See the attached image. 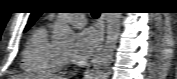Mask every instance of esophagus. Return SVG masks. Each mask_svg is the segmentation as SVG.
<instances>
[{
	"label": "esophagus",
	"mask_w": 177,
	"mask_h": 79,
	"mask_svg": "<svg viewBox=\"0 0 177 79\" xmlns=\"http://www.w3.org/2000/svg\"><path fill=\"white\" fill-rule=\"evenodd\" d=\"M104 20H105L104 15L101 14L97 22V27H98L99 36H100L99 45H98L96 53L94 54L92 60L90 61L87 69L84 72V79H93L94 77V74L97 68L99 55L102 51L103 43H104V32H105Z\"/></svg>",
	"instance_id": "1"
}]
</instances>
